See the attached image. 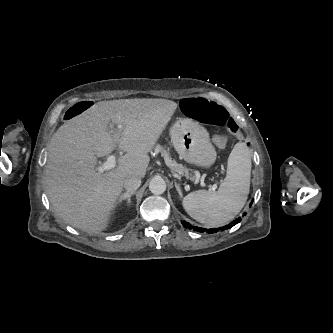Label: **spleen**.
Returning <instances> with one entry per match:
<instances>
[{"mask_svg": "<svg viewBox=\"0 0 333 333\" xmlns=\"http://www.w3.org/2000/svg\"><path fill=\"white\" fill-rule=\"evenodd\" d=\"M251 176V153L245 143H237L228 158L227 175L216 192L198 190L182 200L185 211L208 226L224 225L246 203Z\"/></svg>", "mask_w": 333, "mask_h": 333, "instance_id": "obj_1", "label": "spleen"}]
</instances>
